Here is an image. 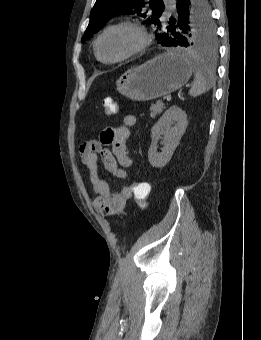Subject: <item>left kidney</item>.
Here are the masks:
<instances>
[{"instance_id": "1", "label": "left kidney", "mask_w": 261, "mask_h": 340, "mask_svg": "<svg viewBox=\"0 0 261 340\" xmlns=\"http://www.w3.org/2000/svg\"><path fill=\"white\" fill-rule=\"evenodd\" d=\"M175 124L174 126H172ZM188 125L186 113L177 106L170 107L151 129L152 142L148 151V160L155 168L164 167L171 159ZM162 152H157L159 140Z\"/></svg>"}]
</instances>
